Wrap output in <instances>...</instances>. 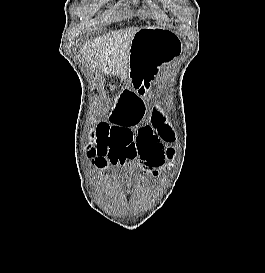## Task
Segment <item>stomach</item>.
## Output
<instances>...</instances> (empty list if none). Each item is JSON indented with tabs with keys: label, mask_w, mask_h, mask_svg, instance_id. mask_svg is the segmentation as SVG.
Masks as SVG:
<instances>
[{
	"label": "stomach",
	"mask_w": 265,
	"mask_h": 273,
	"mask_svg": "<svg viewBox=\"0 0 265 273\" xmlns=\"http://www.w3.org/2000/svg\"><path fill=\"white\" fill-rule=\"evenodd\" d=\"M180 48L179 39L165 29L154 26L139 28L130 46L129 71L134 84L130 89L137 90V95H144L143 89L149 86L164 65L178 55Z\"/></svg>",
	"instance_id": "obj_1"
}]
</instances>
